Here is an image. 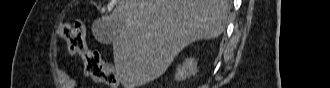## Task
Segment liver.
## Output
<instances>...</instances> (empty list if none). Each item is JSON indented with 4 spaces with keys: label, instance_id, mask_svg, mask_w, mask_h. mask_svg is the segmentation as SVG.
Listing matches in <instances>:
<instances>
[{
    "label": "liver",
    "instance_id": "1",
    "mask_svg": "<svg viewBox=\"0 0 330 88\" xmlns=\"http://www.w3.org/2000/svg\"><path fill=\"white\" fill-rule=\"evenodd\" d=\"M227 0H120L105 19L124 88L160 77L187 45L226 27Z\"/></svg>",
    "mask_w": 330,
    "mask_h": 88
}]
</instances>
